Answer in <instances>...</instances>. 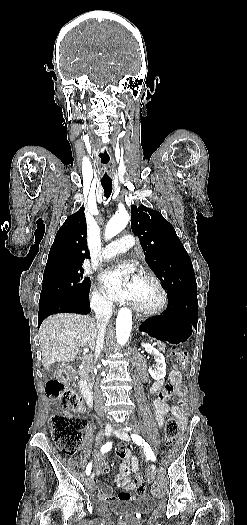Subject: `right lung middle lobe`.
I'll return each instance as SVG.
<instances>
[{
  "label": "right lung middle lobe",
  "mask_w": 247,
  "mask_h": 525,
  "mask_svg": "<svg viewBox=\"0 0 247 525\" xmlns=\"http://www.w3.org/2000/svg\"><path fill=\"white\" fill-rule=\"evenodd\" d=\"M88 290L82 266L44 271L40 306L57 299H83Z\"/></svg>",
  "instance_id": "right-lung-middle-lobe-1"
}]
</instances>
